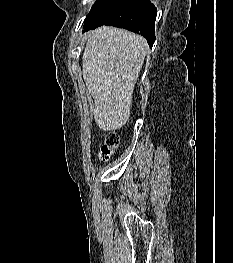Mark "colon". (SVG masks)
<instances>
[{
	"mask_svg": "<svg viewBox=\"0 0 233 263\" xmlns=\"http://www.w3.org/2000/svg\"><path fill=\"white\" fill-rule=\"evenodd\" d=\"M120 146V136L116 132H109L106 135L105 142L101 147L100 159L103 161H108L110 157L115 153V151Z\"/></svg>",
	"mask_w": 233,
	"mask_h": 263,
	"instance_id": "obj_1",
	"label": "colon"
}]
</instances>
